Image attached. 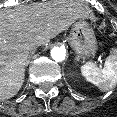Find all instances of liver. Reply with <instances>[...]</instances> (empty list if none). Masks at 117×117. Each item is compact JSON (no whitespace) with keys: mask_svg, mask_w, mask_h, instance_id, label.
Returning <instances> with one entry per match:
<instances>
[{"mask_svg":"<svg viewBox=\"0 0 117 117\" xmlns=\"http://www.w3.org/2000/svg\"><path fill=\"white\" fill-rule=\"evenodd\" d=\"M89 13L86 5L72 0L0 11V101L14 97L23 85L31 48L47 45Z\"/></svg>","mask_w":117,"mask_h":117,"instance_id":"1","label":"liver"}]
</instances>
